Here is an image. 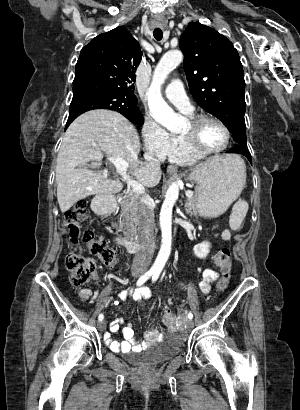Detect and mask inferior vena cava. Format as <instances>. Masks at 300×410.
I'll return each mask as SVG.
<instances>
[{
    "mask_svg": "<svg viewBox=\"0 0 300 410\" xmlns=\"http://www.w3.org/2000/svg\"><path fill=\"white\" fill-rule=\"evenodd\" d=\"M148 162L153 167L160 169V162L155 159H149ZM150 199L147 197L144 201ZM154 215L149 206L144 205L139 213L138 234L139 242L143 249H138L133 259L132 269L146 271L148 268L152 253L155 250L156 239L153 237Z\"/></svg>",
    "mask_w": 300,
    "mask_h": 410,
    "instance_id": "inferior-vena-cava-1",
    "label": "inferior vena cava"
}]
</instances>
